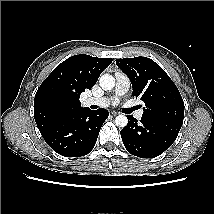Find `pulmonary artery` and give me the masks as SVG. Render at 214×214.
I'll list each match as a JSON object with an SVG mask.
<instances>
[{"label":"pulmonary artery","instance_id":"1","mask_svg":"<svg viewBox=\"0 0 214 214\" xmlns=\"http://www.w3.org/2000/svg\"><path fill=\"white\" fill-rule=\"evenodd\" d=\"M116 85L114 94L115 97L122 96L130 88V80L129 78L122 72L115 73ZM112 101V98L109 97H89L85 100L86 105H97L100 107H107ZM135 117L140 120L143 116V110H137L135 112Z\"/></svg>","mask_w":214,"mask_h":214}]
</instances>
